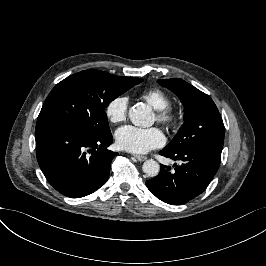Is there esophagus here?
<instances>
[{
    "instance_id": "obj_1",
    "label": "esophagus",
    "mask_w": 266,
    "mask_h": 266,
    "mask_svg": "<svg viewBox=\"0 0 266 266\" xmlns=\"http://www.w3.org/2000/svg\"><path fill=\"white\" fill-rule=\"evenodd\" d=\"M135 159H137L138 161H145L147 159L146 156L144 155H134Z\"/></svg>"
}]
</instances>
